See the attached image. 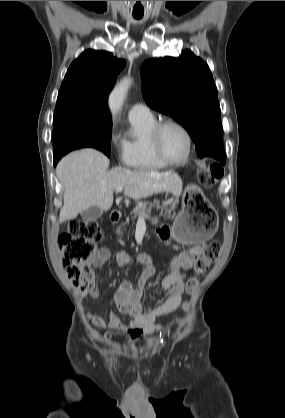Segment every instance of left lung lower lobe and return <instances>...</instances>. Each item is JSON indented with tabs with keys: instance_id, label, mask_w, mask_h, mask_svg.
I'll use <instances>...</instances> for the list:
<instances>
[{
	"instance_id": "1",
	"label": "left lung lower lobe",
	"mask_w": 285,
	"mask_h": 418,
	"mask_svg": "<svg viewBox=\"0 0 285 418\" xmlns=\"http://www.w3.org/2000/svg\"><path fill=\"white\" fill-rule=\"evenodd\" d=\"M223 154H224V151H220L218 153L217 152H213L210 157H213V158L219 160L222 157Z\"/></svg>"
}]
</instances>
